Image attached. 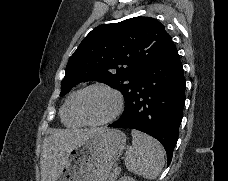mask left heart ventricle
<instances>
[{"instance_id": "b2bd125f", "label": "left heart ventricle", "mask_w": 228, "mask_h": 181, "mask_svg": "<svg viewBox=\"0 0 228 181\" xmlns=\"http://www.w3.org/2000/svg\"><path fill=\"white\" fill-rule=\"evenodd\" d=\"M113 104L112 95L100 89L88 91L80 101L81 112L90 115L92 121L104 117L111 110Z\"/></svg>"}]
</instances>
